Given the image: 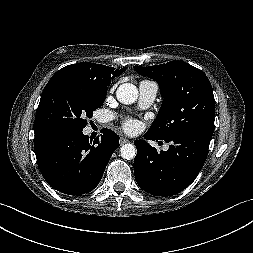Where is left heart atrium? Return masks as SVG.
<instances>
[{"label": "left heart atrium", "mask_w": 253, "mask_h": 253, "mask_svg": "<svg viewBox=\"0 0 253 253\" xmlns=\"http://www.w3.org/2000/svg\"><path fill=\"white\" fill-rule=\"evenodd\" d=\"M136 126L137 124L133 120H128L124 123V128L128 132H132L133 130H135Z\"/></svg>", "instance_id": "obj_1"}]
</instances>
